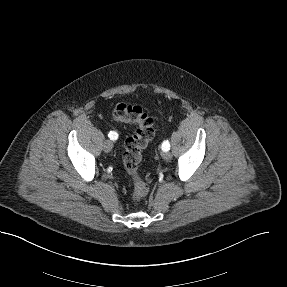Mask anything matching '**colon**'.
<instances>
[{"mask_svg": "<svg viewBox=\"0 0 287 287\" xmlns=\"http://www.w3.org/2000/svg\"><path fill=\"white\" fill-rule=\"evenodd\" d=\"M113 117L124 123L136 125L135 133L128 137L124 145L123 164L132 180V196L141 199L148 193L149 187L138 173L142 151L154 136V121L140 106L124 102L116 104Z\"/></svg>", "mask_w": 287, "mask_h": 287, "instance_id": "1", "label": "colon"}]
</instances>
